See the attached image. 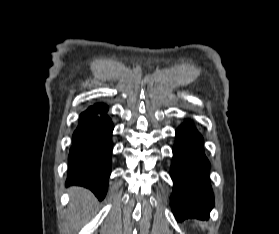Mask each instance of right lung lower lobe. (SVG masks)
I'll return each instance as SVG.
<instances>
[{
	"mask_svg": "<svg viewBox=\"0 0 279 234\" xmlns=\"http://www.w3.org/2000/svg\"><path fill=\"white\" fill-rule=\"evenodd\" d=\"M108 106L95 104L81 113L72 137L66 185L90 189L99 200L107 192L111 173L113 123L107 115Z\"/></svg>",
	"mask_w": 279,
	"mask_h": 234,
	"instance_id": "obj_1",
	"label": "right lung lower lobe"
}]
</instances>
